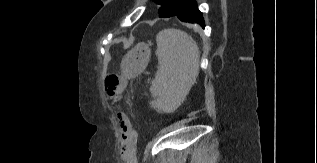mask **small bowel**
I'll use <instances>...</instances> for the list:
<instances>
[{
	"label": "small bowel",
	"instance_id": "c3829d8e",
	"mask_svg": "<svg viewBox=\"0 0 317 163\" xmlns=\"http://www.w3.org/2000/svg\"><path fill=\"white\" fill-rule=\"evenodd\" d=\"M117 119L119 123V127L121 131L123 132V145L125 147V158L127 159L128 163L133 162V153L136 146V132L132 128V123L129 118V116L123 112L118 111L117 112Z\"/></svg>",
	"mask_w": 317,
	"mask_h": 163
}]
</instances>
